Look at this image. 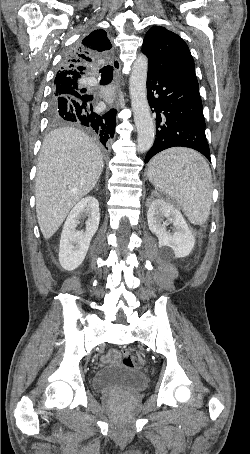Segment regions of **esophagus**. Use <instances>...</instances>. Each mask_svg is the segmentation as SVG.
Returning a JSON list of instances; mask_svg holds the SVG:
<instances>
[{"label":"esophagus","instance_id":"esophagus-1","mask_svg":"<svg viewBox=\"0 0 250 454\" xmlns=\"http://www.w3.org/2000/svg\"><path fill=\"white\" fill-rule=\"evenodd\" d=\"M120 68H121L120 63H116L115 64V69H116V72H117L118 76L120 74ZM115 107H118V103L115 104Z\"/></svg>","mask_w":250,"mask_h":454}]
</instances>
